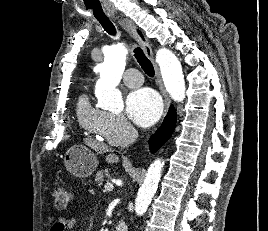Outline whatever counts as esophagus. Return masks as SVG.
Here are the masks:
<instances>
[{
    "mask_svg": "<svg viewBox=\"0 0 268 231\" xmlns=\"http://www.w3.org/2000/svg\"><path fill=\"white\" fill-rule=\"evenodd\" d=\"M115 20L118 21V23L120 24V26L126 30L130 35H132L135 40L140 44V46L142 47L145 55L150 59L153 67H154V71H155V76H156V83L157 85L159 86V89L163 95V98H164V102H165V113H167L169 107H170V98L165 90V87L163 85V82H162V78H161V75H160V71H159V68H158V65L154 59V55H153V52H152V49L150 47V45L147 43L146 40L143 39V37L139 34L138 30H137V27L135 25V23L130 20L129 18H124V17H118V16H115L114 17Z\"/></svg>",
    "mask_w": 268,
    "mask_h": 231,
    "instance_id": "obj_1",
    "label": "esophagus"
}]
</instances>
